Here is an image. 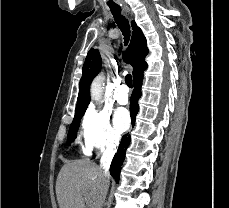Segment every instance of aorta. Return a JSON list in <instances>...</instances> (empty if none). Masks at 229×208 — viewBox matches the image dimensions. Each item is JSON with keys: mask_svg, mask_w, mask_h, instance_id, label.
<instances>
[{"mask_svg": "<svg viewBox=\"0 0 229 208\" xmlns=\"http://www.w3.org/2000/svg\"><path fill=\"white\" fill-rule=\"evenodd\" d=\"M104 86V77L99 75L94 79L91 85V98L95 101H100L102 92H103V87Z\"/></svg>", "mask_w": 229, "mask_h": 208, "instance_id": "762f6f07", "label": "aorta"}]
</instances>
